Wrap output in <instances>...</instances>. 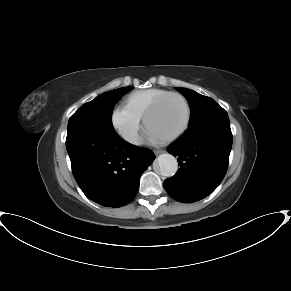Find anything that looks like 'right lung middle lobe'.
I'll return each instance as SVG.
<instances>
[{"instance_id":"obj_1","label":"right lung middle lobe","mask_w":291,"mask_h":291,"mask_svg":"<svg viewBox=\"0 0 291 291\" xmlns=\"http://www.w3.org/2000/svg\"><path fill=\"white\" fill-rule=\"evenodd\" d=\"M132 87L119 88L97 96L83 104L69 119L68 129L76 127L113 131L112 112L118 100Z\"/></svg>"}]
</instances>
